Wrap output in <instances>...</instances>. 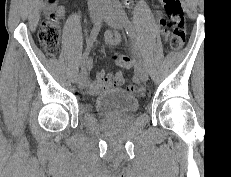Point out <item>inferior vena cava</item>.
Here are the masks:
<instances>
[{
  "label": "inferior vena cava",
  "mask_w": 231,
  "mask_h": 177,
  "mask_svg": "<svg viewBox=\"0 0 231 177\" xmlns=\"http://www.w3.org/2000/svg\"><path fill=\"white\" fill-rule=\"evenodd\" d=\"M90 3L103 2L104 0H88Z\"/></svg>",
  "instance_id": "602c4592"
}]
</instances>
